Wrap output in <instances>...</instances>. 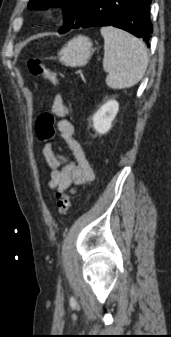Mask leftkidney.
<instances>
[{
  "instance_id": "left-kidney-1",
  "label": "left kidney",
  "mask_w": 171,
  "mask_h": 337,
  "mask_svg": "<svg viewBox=\"0 0 171 337\" xmlns=\"http://www.w3.org/2000/svg\"><path fill=\"white\" fill-rule=\"evenodd\" d=\"M119 110V104L115 100H109L103 104L93 115V127L99 134L107 133L112 127V121Z\"/></svg>"
}]
</instances>
